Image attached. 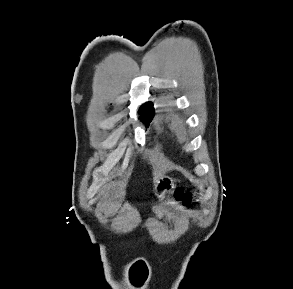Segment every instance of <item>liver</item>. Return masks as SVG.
Masks as SVG:
<instances>
[{"instance_id":"1","label":"liver","mask_w":293,"mask_h":289,"mask_svg":"<svg viewBox=\"0 0 293 289\" xmlns=\"http://www.w3.org/2000/svg\"><path fill=\"white\" fill-rule=\"evenodd\" d=\"M155 163H156V167H154V171H153V181L154 183H157L159 181V178L162 177V169L160 167V163L157 161V159H155ZM116 186V184H112L110 186L107 187L108 190L110 189H114Z\"/></svg>"}]
</instances>
